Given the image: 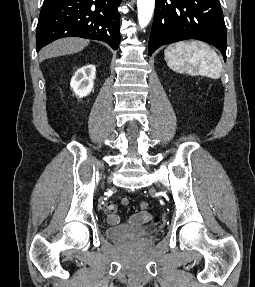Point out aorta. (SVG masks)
Listing matches in <instances>:
<instances>
[{"mask_svg":"<svg viewBox=\"0 0 255 287\" xmlns=\"http://www.w3.org/2000/svg\"><path fill=\"white\" fill-rule=\"evenodd\" d=\"M155 0H137L138 21L143 28L148 25L152 18Z\"/></svg>","mask_w":255,"mask_h":287,"instance_id":"762f6f07","label":"aorta"}]
</instances>
